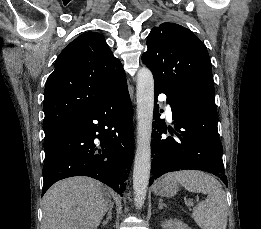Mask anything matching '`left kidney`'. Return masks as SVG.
<instances>
[{
    "label": "left kidney",
    "instance_id": "1",
    "mask_svg": "<svg viewBox=\"0 0 261 229\" xmlns=\"http://www.w3.org/2000/svg\"><path fill=\"white\" fill-rule=\"evenodd\" d=\"M162 229H190L188 225L182 223V221H178V219H170V221H164L161 223Z\"/></svg>",
    "mask_w": 261,
    "mask_h": 229
}]
</instances>
